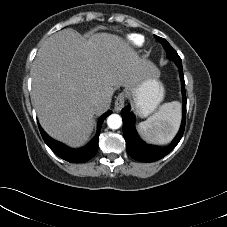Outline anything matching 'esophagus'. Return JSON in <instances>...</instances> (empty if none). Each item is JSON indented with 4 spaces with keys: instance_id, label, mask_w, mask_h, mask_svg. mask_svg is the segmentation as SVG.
<instances>
[{
    "instance_id": "esophagus-1",
    "label": "esophagus",
    "mask_w": 227,
    "mask_h": 227,
    "mask_svg": "<svg viewBox=\"0 0 227 227\" xmlns=\"http://www.w3.org/2000/svg\"><path fill=\"white\" fill-rule=\"evenodd\" d=\"M125 101H126V94L120 93L114 102L115 111H117V112L121 111L123 109V107L125 106Z\"/></svg>"
}]
</instances>
